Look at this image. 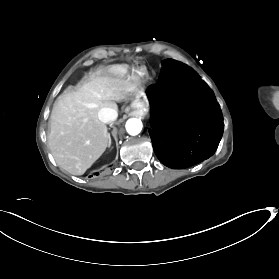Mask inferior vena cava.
I'll list each match as a JSON object with an SVG mask.
<instances>
[{
    "label": "inferior vena cava",
    "mask_w": 279,
    "mask_h": 279,
    "mask_svg": "<svg viewBox=\"0 0 279 279\" xmlns=\"http://www.w3.org/2000/svg\"><path fill=\"white\" fill-rule=\"evenodd\" d=\"M118 117L117 111H114L113 109L109 108H102L98 112V118L103 123H111L115 122L116 118Z\"/></svg>",
    "instance_id": "602c4592"
}]
</instances>
